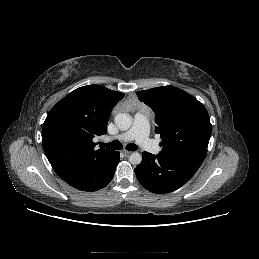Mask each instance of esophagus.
I'll list each match as a JSON object with an SVG mask.
<instances>
[{"label":"esophagus","instance_id":"1","mask_svg":"<svg viewBox=\"0 0 259 259\" xmlns=\"http://www.w3.org/2000/svg\"><path fill=\"white\" fill-rule=\"evenodd\" d=\"M122 153L125 154V155H129V154H131L132 152L124 149V150H122Z\"/></svg>","mask_w":259,"mask_h":259}]
</instances>
